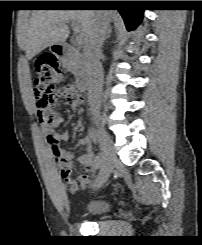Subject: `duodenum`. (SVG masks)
Wrapping results in <instances>:
<instances>
[{
  "label": "duodenum",
  "mask_w": 202,
  "mask_h": 245,
  "mask_svg": "<svg viewBox=\"0 0 202 245\" xmlns=\"http://www.w3.org/2000/svg\"><path fill=\"white\" fill-rule=\"evenodd\" d=\"M57 57L73 60L77 65L76 89L84 94H90L93 88L92 78L87 73V65L82 61L73 45L68 42L58 43L53 47Z\"/></svg>",
  "instance_id": "410a0bca"
}]
</instances>
